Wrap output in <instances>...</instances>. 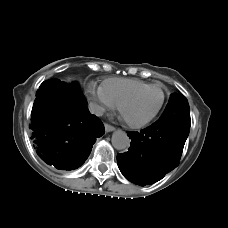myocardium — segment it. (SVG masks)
<instances>
[{
	"mask_svg": "<svg viewBox=\"0 0 228 228\" xmlns=\"http://www.w3.org/2000/svg\"><path fill=\"white\" fill-rule=\"evenodd\" d=\"M152 89H156L158 91H160L161 93V100H160V103L159 105L157 106V108L155 109V111L150 115L148 116L147 118L141 120V121H137V122H134V121H130L128 120L127 118L124 117L123 115V107L126 103H128L130 100H132L133 98H135L136 96L148 91V90H152ZM164 101H165V94H164V91L159 87V86H156V85H150L148 87H145V88H142V89H139L127 96H125L120 102L119 104L117 105L118 106V110L119 112L121 113L122 117L124 118L125 122L133 127V128H141V127H144L146 126L147 124H149L156 116L157 114L159 113V111L161 110L163 104H164Z\"/></svg>",
	"mask_w": 228,
	"mask_h": 228,
	"instance_id": "1",
	"label": "myocardium"
}]
</instances>
